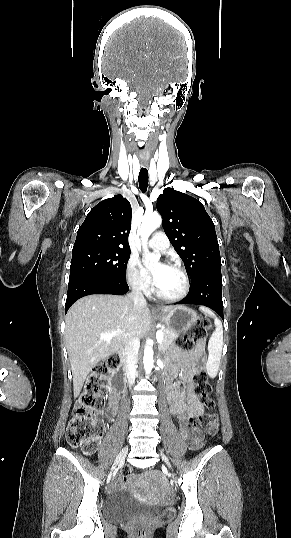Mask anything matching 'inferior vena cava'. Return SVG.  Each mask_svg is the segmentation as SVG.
<instances>
[{"mask_svg":"<svg viewBox=\"0 0 291 538\" xmlns=\"http://www.w3.org/2000/svg\"><path fill=\"white\" fill-rule=\"evenodd\" d=\"M128 296L133 301L135 307L146 305V299L142 293V288L140 284H134L132 292ZM139 346L140 341L139 338L136 336H131L125 344L124 351L126 355V371L130 386L134 384L135 377L137 374L136 369L138 363Z\"/></svg>","mask_w":291,"mask_h":538,"instance_id":"obj_1","label":"inferior vena cava"}]
</instances>
